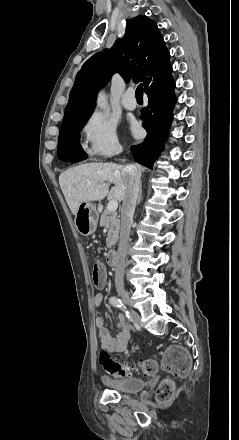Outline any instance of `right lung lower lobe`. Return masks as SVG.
<instances>
[{
  "mask_svg": "<svg viewBox=\"0 0 239 440\" xmlns=\"http://www.w3.org/2000/svg\"><path fill=\"white\" fill-rule=\"evenodd\" d=\"M171 65L144 85L149 98L146 110L142 112L143 127L147 131L145 141L131 146V152L136 162L152 168L159 156L163 143L167 139L168 130L172 121L173 107L176 101L174 96L175 83L171 76ZM59 159L69 162H78L87 158L82 147L75 146L58 153Z\"/></svg>",
  "mask_w": 239,
  "mask_h": 440,
  "instance_id": "98d812e1",
  "label": "right lung lower lobe"
}]
</instances>
